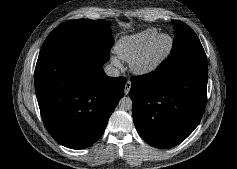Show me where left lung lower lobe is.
<instances>
[{"instance_id":"0a47b994","label":"left lung lower lobe","mask_w":237,"mask_h":169,"mask_svg":"<svg viewBox=\"0 0 237 169\" xmlns=\"http://www.w3.org/2000/svg\"><path fill=\"white\" fill-rule=\"evenodd\" d=\"M207 58H189L149 74L131 78L133 119L139 135L157 148L186 139L205 109Z\"/></svg>"}]
</instances>
